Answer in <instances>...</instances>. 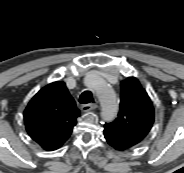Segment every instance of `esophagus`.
I'll return each mask as SVG.
<instances>
[{"label":"esophagus","mask_w":184,"mask_h":173,"mask_svg":"<svg viewBox=\"0 0 184 173\" xmlns=\"http://www.w3.org/2000/svg\"><path fill=\"white\" fill-rule=\"evenodd\" d=\"M97 107L98 106L95 103L84 104V105H82L81 110L83 112H89V111L95 110Z\"/></svg>","instance_id":"obj_1"}]
</instances>
